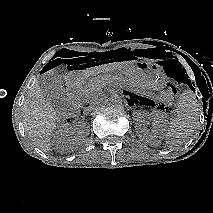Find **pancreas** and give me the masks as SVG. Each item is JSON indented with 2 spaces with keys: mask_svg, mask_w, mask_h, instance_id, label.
Instances as JSON below:
<instances>
[{
  "mask_svg": "<svg viewBox=\"0 0 213 213\" xmlns=\"http://www.w3.org/2000/svg\"><path fill=\"white\" fill-rule=\"evenodd\" d=\"M95 92L92 88H87L84 90V99L88 100L92 97H94Z\"/></svg>",
  "mask_w": 213,
  "mask_h": 213,
  "instance_id": "1",
  "label": "pancreas"
}]
</instances>
